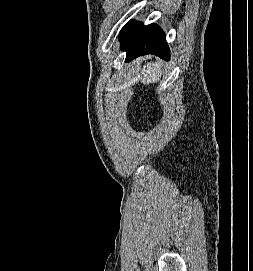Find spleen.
Returning a JSON list of instances; mask_svg holds the SVG:
<instances>
[{
    "mask_svg": "<svg viewBox=\"0 0 253 271\" xmlns=\"http://www.w3.org/2000/svg\"><path fill=\"white\" fill-rule=\"evenodd\" d=\"M163 63L155 62V63H147L146 66L141 70V82L142 83H156L160 80L163 72Z\"/></svg>",
    "mask_w": 253,
    "mask_h": 271,
    "instance_id": "obj_1",
    "label": "spleen"
}]
</instances>
